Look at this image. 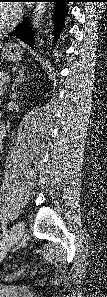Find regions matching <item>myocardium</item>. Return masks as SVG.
<instances>
[{
    "instance_id": "obj_1",
    "label": "myocardium",
    "mask_w": 107,
    "mask_h": 297,
    "mask_svg": "<svg viewBox=\"0 0 107 297\" xmlns=\"http://www.w3.org/2000/svg\"><path fill=\"white\" fill-rule=\"evenodd\" d=\"M15 10V14H14V17L12 18V20L4 25V26H1L0 27V34H3V33H7L8 31H10L12 29V27L16 24L17 22V19H18V12H17V9L15 6H12Z\"/></svg>"
}]
</instances>
